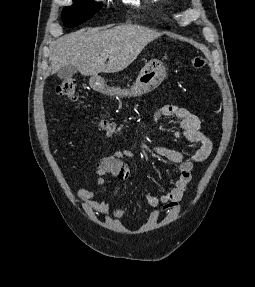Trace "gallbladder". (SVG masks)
I'll return each instance as SVG.
<instances>
[{"label": "gallbladder", "mask_w": 255, "mask_h": 287, "mask_svg": "<svg viewBox=\"0 0 255 287\" xmlns=\"http://www.w3.org/2000/svg\"><path fill=\"white\" fill-rule=\"evenodd\" d=\"M76 72L77 68H75V66H63V68L58 70L57 76L58 78H61V80H66V78H71Z\"/></svg>", "instance_id": "bac80fb5"}]
</instances>
